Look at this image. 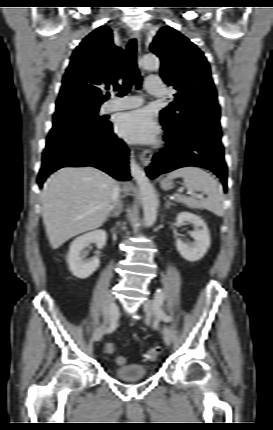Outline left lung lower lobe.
Here are the masks:
<instances>
[{
  "label": "left lung lower lobe",
  "instance_id": "0a47b994",
  "mask_svg": "<svg viewBox=\"0 0 273 430\" xmlns=\"http://www.w3.org/2000/svg\"><path fill=\"white\" fill-rule=\"evenodd\" d=\"M161 118V117H160ZM166 131V148L153 156L147 174L155 178L185 166H198L213 171L227 190V166L221 143V127L215 115L201 114L190 125L177 128L176 123L161 118Z\"/></svg>",
  "mask_w": 273,
  "mask_h": 430
}]
</instances>
